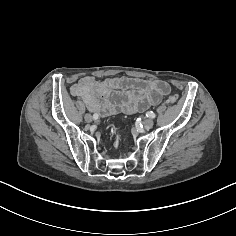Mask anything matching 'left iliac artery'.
I'll use <instances>...</instances> for the list:
<instances>
[{
	"label": "left iliac artery",
	"mask_w": 236,
	"mask_h": 236,
	"mask_svg": "<svg viewBox=\"0 0 236 236\" xmlns=\"http://www.w3.org/2000/svg\"><path fill=\"white\" fill-rule=\"evenodd\" d=\"M146 116L147 117H149V118H155V114H154V112H152V111H148L147 113H146Z\"/></svg>",
	"instance_id": "1"
}]
</instances>
